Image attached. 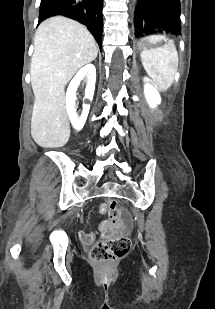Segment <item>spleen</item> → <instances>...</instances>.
I'll return each instance as SVG.
<instances>
[{"instance_id":"1","label":"spleen","mask_w":215,"mask_h":309,"mask_svg":"<svg viewBox=\"0 0 215 309\" xmlns=\"http://www.w3.org/2000/svg\"><path fill=\"white\" fill-rule=\"evenodd\" d=\"M140 56L141 62L154 84L160 90H167L171 86L178 68V52L173 40H169L163 46L150 48V50L144 48Z\"/></svg>"}]
</instances>
